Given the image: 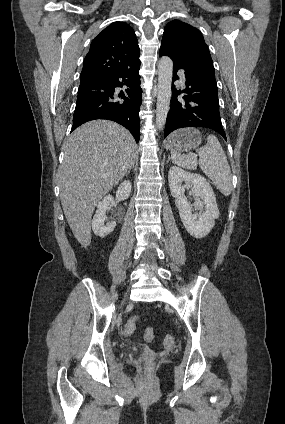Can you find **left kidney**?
Segmentation results:
<instances>
[{
    "label": "left kidney",
    "instance_id": "5707ae66",
    "mask_svg": "<svg viewBox=\"0 0 285 424\" xmlns=\"http://www.w3.org/2000/svg\"><path fill=\"white\" fill-rule=\"evenodd\" d=\"M168 181L171 195L175 198L181 221L188 233L197 239L208 235L220 214L209 182L200 174L187 172L177 166L170 168ZM183 182L185 185H182ZM189 188L196 198L194 207L201 210L200 213H192V207L184 194Z\"/></svg>",
    "mask_w": 285,
    "mask_h": 424
}]
</instances>
